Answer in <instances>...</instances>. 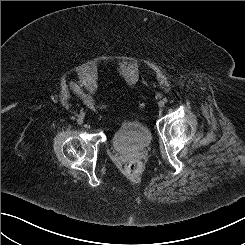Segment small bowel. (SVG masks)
Segmentation results:
<instances>
[{
	"instance_id": "small-bowel-1",
	"label": "small bowel",
	"mask_w": 245,
	"mask_h": 245,
	"mask_svg": "<svg viewBox=\"0 0 245 245\" xmlns=\"http://www.w3.org/2000/svg\"><path fill=\"white\" fill-rule=\"evenodd\" d=\"M70 87L74 94L79 97L92 111L98 112L106 108L105 104L97 102L91 94L86 93L77 83L71 82Z\"/></svg>"
}]
</instances>
